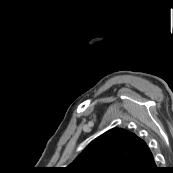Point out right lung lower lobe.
Returning a JSON list of instances; mask_svg holds the SVG:
<instances>
[{
  "label": "right lung lower lobe",
  "mask_w": 173,
  "mask_h": 173,
  "mask_svg": "<svg viewBox=\"0 0 173 173\" xmlns=\"http://www.w3.org/2000/svg\"><path fill=\"white\" fill-rule=\"evenodd\" d=\"M124 173H159L153 155H149L130 166Z\"/></svg>",
  "instance_id": "obj_1"
}]
</instances>
